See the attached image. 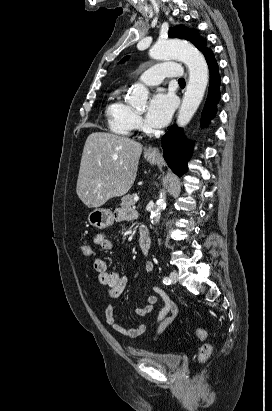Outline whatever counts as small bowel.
I'll list each match as a JSON object with an SVG mask.
<instances>
[{
	"label": "small bowel",
	"instance_id": "c3829d8e",
	"mask_svg": "<svg viewBox=\"0 0 272 411\" xmlns=\"http://www.w3.org/2000/svg\"><path fill=\"white\" fill-rule=\"evenodd\" d=\"M136 217V212L131 209L121 210L116 214V219L119 221H128ZM94 242L105 251H111L114 248L113 242L105 233H97L94 236ZM97 272L98 282L105 287V294L109 298L119 297L127 286V278L118 270L110 271L107 262L97 257L93 262ZM154 264L151 261L144 263V270L147 273L152 272ZM154 294L145 296V303L140 304L135 308V314L139 317H144L152 313L159 300L163 301V307L158 312L154 321L150 324L139 323L136 327L127 328L119 324L114 317L113 307L106 306L104 315L106 323L117 333L127 338H137L143 335L149 328H155V332L151 340H156L177 318L178 309L175 302L169 295L160 287H153Z\"/></svg>",
	"mask_w": 272,
	"mask_h": 411
}]
</instances>
